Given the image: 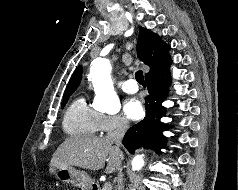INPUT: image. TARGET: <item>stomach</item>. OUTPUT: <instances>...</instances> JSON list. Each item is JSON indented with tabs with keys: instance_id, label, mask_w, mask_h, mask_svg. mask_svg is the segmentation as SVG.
Returning <instances> with one entry per match:
<instances>
[{
	"instance_id": "stomach-1",
	"label": "stomach",
	"mask_w": 238,
	"mask_h": 190,
	"mask_svg": "<svg viewBox=\"0 0 238 190\" xmlns=\"http://www.w3.org/2000/svg\"><path fill=\"white\" fill-rule=\"evenodd\" d=\"M54 175L62 183L72 184L81 190H90L93 186V180L86 172L72 166L57 168Z\"/></svg>"
}]
</instances>
